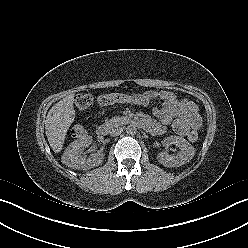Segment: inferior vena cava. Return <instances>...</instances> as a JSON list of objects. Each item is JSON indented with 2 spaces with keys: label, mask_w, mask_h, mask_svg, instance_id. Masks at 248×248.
<instances>
[{
  "label": "inferior vena cava",
  "mask_w": 248,
  "mask_h": 248,
  "mask_svg": "<svg viewBox=\"0 0 248 248\" xmlns=\"http://www.w3.org/2000/svg\"><path fill=\"white\" fill-rule=\"evenodd\" d=\"M122 131H123V128L122 127H116V128H114V129H112L110 131V134L112 136H118V135H120L122 133Z\"/></svg>",
  "instance_id": "1"
}]
</instances>
